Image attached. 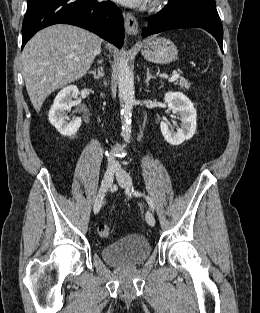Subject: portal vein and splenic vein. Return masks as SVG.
<instances>
[{
  "label": "portal vein and splenic vein",
  "instance_id": "obj_1",
  "mask_svg": "<svg viewBox=\"0 0 260 313\" xmlns=\"http://www.w3.org/2000/svg\"><path fill=\"white\" fill-rule=\"evenodd\" d=\"M179 76H180V74L174 73V74L168 79V81H169V82H173V81H175L176 79H178Z\"/></svg>",
  "mask_w": 260,
  "mask_h": 313
}]
</instances>
